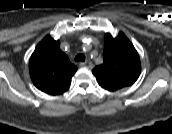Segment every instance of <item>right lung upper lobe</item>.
<instances>
[{"label":"right lung upper lobe","instance_id":"obj_1","mask_svg":"<svg viewBox=\"0 0 172 134\" xmlns=\"http://www.w3.org/2000/svg\"><path fill=\"white\" fill-rule=\"evenodd\" d=\"M76 71L77 67L61 51L60 41L49 35L39 42L29 61L32 82L39 90L51 95L67 91Z\"/></svg>","mask_w":172,"mask_h":134}]
</instances>
